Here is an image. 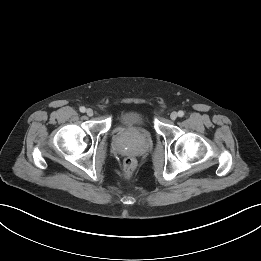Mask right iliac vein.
<instances>
[{"mask_svg":"<svg viewBox=\"0 0 261 261\" xmlns=\"http://www.w3.org/2000/svg\"><path fill=\"white\" fill-rule=\"evenodd\" d=\"M86 113H87L88 116H93V114H94V112H93V110L91 108H88L86 110Z\"/></svg>","mask_w":261,"mask_h":261,"instance_id":"obj_1","label":"right iliac vein"}]
</instances>
